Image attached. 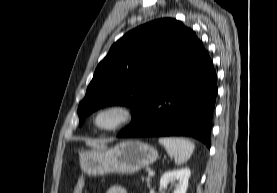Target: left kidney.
<instances>
[{
  "label": "left kidney",
  "mask_w": 277,
  "mask_h": 193,
  "mask_svg": "<svg viewBox=\"0 0 277 193\" xmlns=\"http://www.w3.org/2000/svg\"><path fill=\"white\" fill-rule=\"evenodd\" d=\"M191 175L189 168H182L165 172L160 179V191L166 187L170 182L177 181L173 193H186L188 187V180Z\"/></svg>",
  "instance_id": "1"
}]
</instances>
